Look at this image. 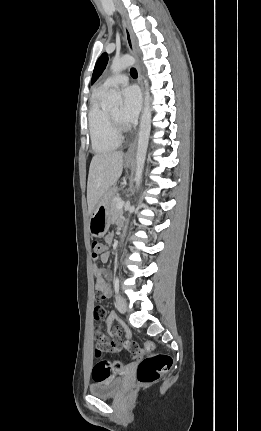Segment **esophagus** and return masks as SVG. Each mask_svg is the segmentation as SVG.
<instances>
[{"instance_id":"esophagus-1","label":"esophagus","mask_w":261,"mask_h":431,"mask_svg":"<svg viewBox=\"0 0 261 431\" xmlns=\"http://www.w3.org/2000/svg\"><path fill=\"white\" fill-rule=\"evenodd\" d=\"M122 25H123L125 40H126V44H127L128 49H129V52L136 59V61H138V50L136 47L135 37H134V34L132 32V29H131L128 21L124 17H122ZM138 82H139L141 92L143 95V84H142V78H141V74H140L139 70H138ZM136 146H137V136L135 137L133 142L130 144L126 155L132 156L136 150Z\"/></svg>"}]
</instances>
